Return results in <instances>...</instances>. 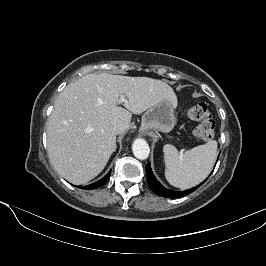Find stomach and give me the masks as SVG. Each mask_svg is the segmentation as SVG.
<instances>
[{
	"label": "stomach",
	"instance_id": "1",
	"mask_svg": "<svg viewBox=\"0 0 266 266\" xmlns=\"http://www.w3.org/2000/svg\"><path fill=\"white\" fill-rule=\"evenodd\" d=\"M175 108L170 100H162L150 107L142 116L141 129L170 132L176 122Z\"/></svg>",
	"mask_w": 266,
	"mask_h": 266
}]
</instances>
